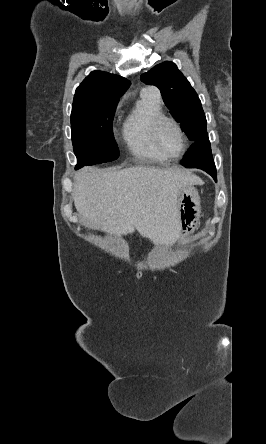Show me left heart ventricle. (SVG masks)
Wrapping results in <instances>:
<instances>
[{
    "label": "left heart ventricle",
    "mask_w": 266,
    "mask_h": 444,
    "mask_svg": "<svg viewBox=\"0 0 266 444\" xmlns=\"http://www.w3.org/2000/svg\"><path fill=\"white\" fill-rule=\"evenodd\" d=\"M159 143L168 155H176L181 148L180 135L172 123L165 122L159 131Z\"/></svg>",
    "instance_id": "1"
}]
</instances>
